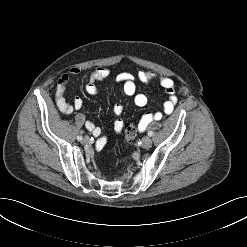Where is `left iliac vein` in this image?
<instances>
[{"label": "left iliac vein", "instance_id": "1", "mask_svg": "<svg viewBox=\"0 0 247 247\" xmlns=\"http://www.w3.org/2000/svg\"><path fill=\"white\" fill-rule=\"evenodd\" d=\"M151 145H152V140H151V138L150 137H144L143 139H142V147L143 148H145V149H148V148H150L151 147Z\"/></svg>", "mask_w": 247, "mask_h": 247}]
</instances>
